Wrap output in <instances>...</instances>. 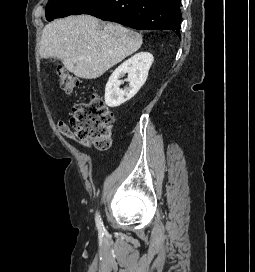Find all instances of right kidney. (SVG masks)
<instances>
[{
	"label": "right kidney",
	"instance_id": "1",
	"mask_svg": "<svg viewBox=\"0 0 255 272\" xmlns=\"http://www.w3.org/2000/svg\"><path fill=\"white\" fill-rule=\"evenodd\" d=\"M153 60L152 54L140 52L115 69L105 87V103L107 106L118 107L130 100L145 83ZM126 73L128 74L126 81L129 82V87L122 90L119 88L122 83L120 77Z\"/></svg>",
	"mask_w": 255,
	"mask_h": 272
}]
</instances>
